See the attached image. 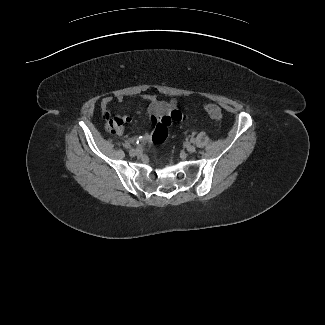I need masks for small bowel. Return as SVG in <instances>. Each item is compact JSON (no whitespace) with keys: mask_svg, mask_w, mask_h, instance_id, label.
I'll list each match as a JSON object with an SVG mask.
<instances>
[{"mask_svg":"<svg viewBox=\"0 0 325 325\" xmlns=\"http://www.w3.org/2000/svg\"><path fill=\"white\" fill-rule=\"evenodd\" d=\"M124 95L116 96L118 102H124ZM147 101V112L149 114V125L151 131L143 135L145 141L153 140L155 143L163 142L168 134L167 127L172 122H180L185 116L182 112L174 110L177 107V101L171 99L169 101H161L154 96H145ZM113 97H104L101 101L103 119L107 122L108 129L115 134H122L125 124L132 122L130 116L114 117L110 113V105L113 103Z\"/></svg>","mask_w":325,"mask_h":325,"instance_id":"1","label":"small bowel"}]
</instances>
